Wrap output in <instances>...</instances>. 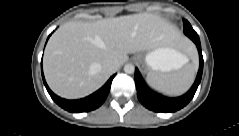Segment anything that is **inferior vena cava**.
Masks as SVG:
<instances>
[{
    "instance_id": "1",
    "label": "inferior vena cava",
    "mask_w": 239,
    "mask_h": 136,
    "mask_svg": "<svg viewBox=\"0 0 239 136\" xmlns=\"http://www.w3.org/2000/svg\"><path fill=\"white\" fill-rule=\"evenodd\" d=\"M103 66L105 69H107L108 71H111V72H114L119 68L118 62L115 60H112V59L104 62Z\"/></svg>"
}]
</instances>
